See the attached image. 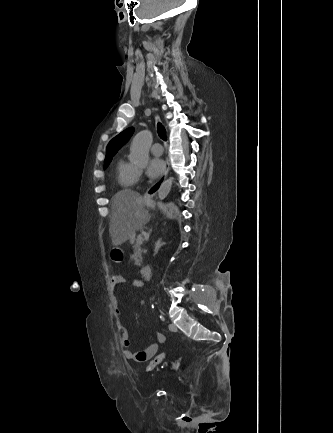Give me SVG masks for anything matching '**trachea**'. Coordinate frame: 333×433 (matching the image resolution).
Returning a JSON list of instances; mask_svg holds the SVG:
<instances>
[{"instance_id": "1", "label": "trachea", "mask_w": 333, "mask_h": 433, "mask_svg": "<svg viewBox=\"0 0 333 433\" xmlns=\"http://www.w3.org/2000/svg\"><path fill=\"white\" fill-rule=\"evenodd\" d=\"M157 132L162 140L167 141L166 130L161 123L157 124Z\"/></svg>"}]
</instances>
